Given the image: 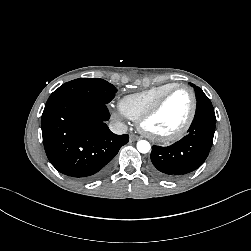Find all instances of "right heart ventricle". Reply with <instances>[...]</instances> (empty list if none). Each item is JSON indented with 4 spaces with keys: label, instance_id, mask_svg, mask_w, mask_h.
<instances>
[{
    "label": "right heart ventricle",
    "instance_id": "right-heart-ventricle-1",
    "mask_svg": "<svg viewBox=\"0 0 251 251\" xmlns=\"http://www.w3.org/2000/svg\"><path fill=\"white\" fill-rule=\"evenodd\" d=\"M167 83L154 86L147 90L122 97L118 106L121 113L132 120H138L140 116L167 90L175 86Z\"/></svg>",
    "mask_w": 251,
    "mask_h": 251
}]
</instances>
